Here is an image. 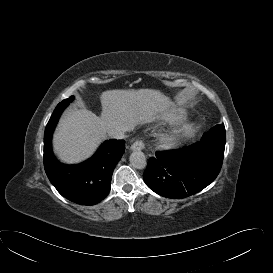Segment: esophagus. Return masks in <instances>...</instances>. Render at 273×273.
<instances>
[{"label":"esophagus","mask_w":273,"mask_h":273,"mask_svg":"<svg viewBox=\"0 0 273 273\" xmlns=\"http://www.w3.org/2000/svg\"><path fill=\"white\" fill-rule=\"evenodd\" d=\"M130 149L132 151H141L144 149V142L142 140H137L131 145Z\"/></svg>","instance_id":"obj_1"}]
</instances>
